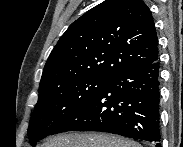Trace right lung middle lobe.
Instances as JSON below:
<instances>
[{"instance_id":"obj_1","label":"right lung middle lobe","mask_w":183,"mask_h":147,"mask_svg":"<svg viewBox=\"0 0 183 147\" xmlns=\"http://www.w3.org/2000/svg\"><path fill=\"white\" fill-rule=\"evenodd\" d=\"M109 79L86 77L39 89L38 102L30 119L31 145L51 135L75 110L91 98Z\"/></svg>"}]
</instances>
